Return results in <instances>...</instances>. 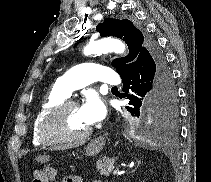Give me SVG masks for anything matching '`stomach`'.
<instances>
[{"instance_id": "1", "label": "stomach", "mask_w": 211, "mask_h": 182, "mask_svg": "<svg viewBox=\"0 0 211 182\" xmlns=\"http://www.w3.org/2000/svg\"><path fill=\"white\" fill-rule=\"evenodd\" d=\"M105 144V139L103 137H99L97 139L92 140L86 147H85V155L93 156L96 155L98 152L101 151Z\"/></svg>"}]
</instances>
